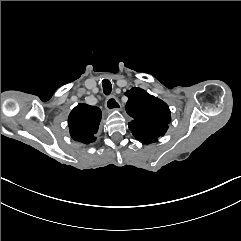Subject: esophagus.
<instances>
[{
	"mask_svg": "<svg viewBox=\"0 0 241 241\" xmlns=\"http://www.w3.org/2000/svg\"><path fill=\"white\" fill-rule=\"evenodd\" d=\"M105 108L107 112H112L114 110H121L122 106L115 96H109L105 101Z\"/></svg>",
	"mask_w": 241,
	"mask_h": 241,
	"instance_id": "obj_1",
	"label": "esophagus"
}]
</instances>
